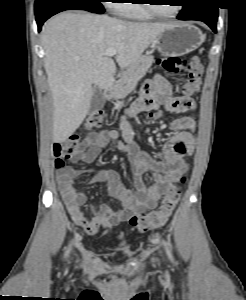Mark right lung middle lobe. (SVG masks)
<instances>
[{
    "instance_id": "right-lung-middle-lobe-1",
    "label": "right lung middle lobe",
    "mask_w": 246,
    "mask_h": 300,
    "mask_svg": "<svg viewBox=\"0 0 246 300\" xmlns=\"http://www.w3.org/2000/svg\"><path fill=\"white\" fill-rule=\"evenodd\" d=\"M53 0H36L35 1V9L43 6L44 4H46L47 2H50ZM83 2H85L88 6H90L91 8L98 10L101 13H104L105 9L103 7V5L101 4V0H81Z\"/></svg>"
}]
</instances>
